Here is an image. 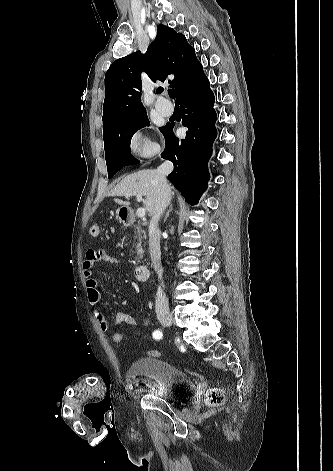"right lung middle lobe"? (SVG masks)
<instances>
[{
	"instance_id": "dd1d6c3e",
	"label": "right lung middle lobe",
	"mask_w": 333,
	"mask_h": 471,
	"mask_svg": "<svg viewBox=\"0 0 333 471\" xmlns=\"http://www.w3.org/2000/svg\"><path fill=\"white\" fill-rule=\"evenodd\" d=\"M149 125L147 113L116 123L103 132L108 178H112L122 167L139 163L131 156L130 142L136 131ZM164 127L160 128L163 132Z\"/></svg>"
}]
</instances>
